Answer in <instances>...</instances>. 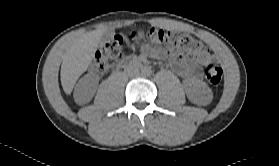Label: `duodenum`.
<instances>
[{"mask_svg":"<svg viewBox=\"0 0 279 166\" xmlns=\"http://www.w3.org/2000/svg\"><path fill=\"white\" fill-rule=\"evenodd\" d=\"M143 62L141 60H136L133 58H124L120 63H119V68H131V67H136V66H142Z\"/></svg>","mask_w":279,"mask_h":166,"instance_id":"duodenum-1","label":"duodenum"}]
</instances>
